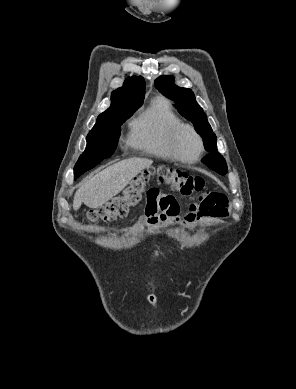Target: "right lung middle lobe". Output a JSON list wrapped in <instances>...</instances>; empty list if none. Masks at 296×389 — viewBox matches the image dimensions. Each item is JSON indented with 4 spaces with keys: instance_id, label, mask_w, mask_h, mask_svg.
I'll list each match as a JSON object with an SVG mask.
<instances>
[{
    "instance_id": "dd1d6c3e",
    "label": "right lung middle lobe",
    "mask_w": 296,
    "mask_h": 389,
    "mask_svg": "<svg viewBox=\"0 0 296 389\" xmlns=\"http://www.w3.org/2000/svg\"><path fill=\"white\" fill-rule=\"evenodd\" d=\"M139 107L124 109L112 115L98 118L93 129L87 135V146L77 161L75 168L85 164H99L110 157L118 143L120 125L133 115Z\"/></svg>"
}]
</instances>
